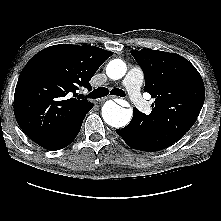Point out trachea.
<instances>
[{
	"label": "trachea",
	"mask_w": 221,
	"mask_h": 221,
	"mask_svg": "<svg viewBox=\"0 0 221 221\" xmlns=\"http://www.w3.org/2000/svg\"><path fill=\"white\" fill-rule=\"evenodd\" d=\"M109 94V90L105 87H99L96 90H94L92 93L89 94L90 98H101L104 96H107ZM111 95H116V96H120V97H125L126 94L123 90L118 89V88H114L110 91Z\"/></svg>",
	"instance_id": "trachea-1"
}]
</instances>
